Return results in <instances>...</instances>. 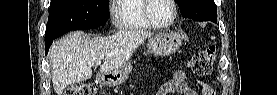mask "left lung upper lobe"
<instances>
[{"instance_id": "1", "label": "left lung upper lobe", "mask_w": 277, "mask_h": 95, "mask_svg": "<svg viewBox=\"0 0 277 95\" xmlns=\"http://www.w3.org/2000/svg\"><path fill=\"white\" fill-rule=\"evenodd\" d=\"M184 18L217 22V6L213 0H175Z\"/></svg>"}]
</instances>
